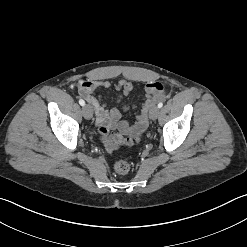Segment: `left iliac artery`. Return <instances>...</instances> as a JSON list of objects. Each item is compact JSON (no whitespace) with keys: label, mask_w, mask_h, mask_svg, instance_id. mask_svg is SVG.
I'll list each match as a JSON object with an SVG mask.
<instances>
[{"label":"left iliac artery","mask_w":247,"mask_h":247,"mask_svg":"<svg viewBox=\"0 0 247 247\" xmlns=\"http://www.w3.org/2000/svg\"><path fill=\"white\" fill-rule=\"evenodd\" d=\"M162 106H163V103L160 102V103L158 104V108H161Z\"/></svg>","instance_id":"obj_1"}]
</instances>
